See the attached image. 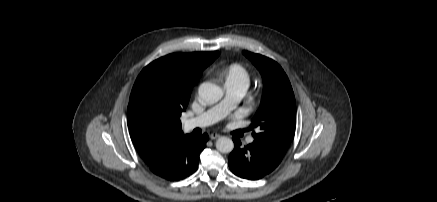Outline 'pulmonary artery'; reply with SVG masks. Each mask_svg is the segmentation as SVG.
<instances>
[{
    "instance_id": "1",
    "label": "pulmonary artery",
    "mask_w": 437,
    "mask_h": 202,
    "mask_svg": "<svg viewBox=\"0 0 437 202\" xmlns=\"http://www.w3.org/2000/svg\"><path fill=\"white\" fill-rule=\"evenodd\" d=\"M247 86L238 83H226V95L224 99L214 107L208 109L199 116L186 120L185 126L188 129L196 127H206L212 125L225 117L243 97ZM253 137H248L249 143L253 142Z\"/></svg>"
}]
</instances>
